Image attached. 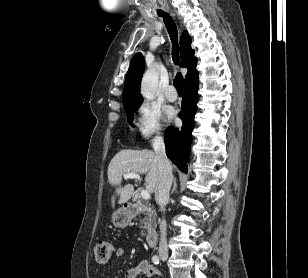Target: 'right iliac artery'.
<instances>
[{
	"mask_svg": "<svg viewBox=\"0 0 308 278\" xmlns=\"http://www.w3.org/2000/svg\"><path fill=\"white\" fill-rule=\"evenodd\" d=\"M152 261H153L154 264H159L160 259H159V257H158L157 255H154V256L152 257Z\"/></svg>",
	"mask_w": 308,
	"mask_h": 278,
	"instance_id": "82829eb1",
	"label": "right iliac artery"
}]
</instances>
